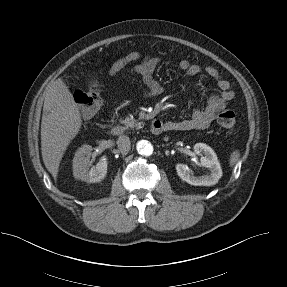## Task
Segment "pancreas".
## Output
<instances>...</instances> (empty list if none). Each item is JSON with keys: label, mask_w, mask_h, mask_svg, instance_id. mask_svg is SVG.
<instances>
[{"label": "pancreas", "mask_w": 287, "mask_h": 287, "mask_svg": "<svg viewBox=\"0 0 287 287\" xmlns=\"http://www.w3.org/2000/svg\"><path fill=\"white\" fill-rule=\"evenodd\" d=\"M120 122L124 124L126 128L130 127L140 129L144 125L142 122H138L137 120H135L132 116L126 117L124 120H120Z\"/></svg>", "instance_id": "cf45deb5"}]
</instances>
